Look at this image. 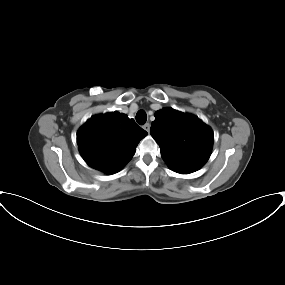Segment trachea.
<instances>
[{
	"label": "trachea",
	"instance_id": "obj_1",
	"mask_svg": "<svg viewBox=\"0 0 285 285\" xmlns=\"http://www.w3.org/2000/svg\"><path fill=\"white\" fill-rule=\"evenodd\" d=\"M136 121L140 124V125H143L146 123L147 121V115L145 113L144 110H140L137 112L136 114Z\"/></svg>",
	"mask_w": 285,
	"mask_h": 285
}]
</instances>
